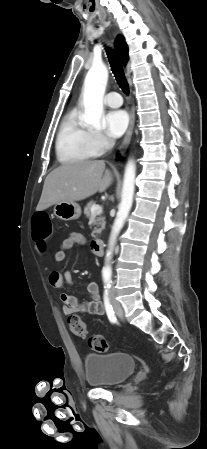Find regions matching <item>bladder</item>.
Returning <instances> with one entry per match:
<instances>
[{
  "instance_id": "1",
  "label": "bladder",
  "mask_w": 207,
  "mask_h": 449,
  "mask_svg": "<svg viewBox=\"0 0 207 449\" xmlns=\"http://www.w3.org/2000/svg\"><path fill=\"white\" fill-rule=\"evenodd\" d=\"M134 358L126 353H88L84 357V374L93 386H116L127 380L135 371Z\"/></svg>"
}]
</instances>
